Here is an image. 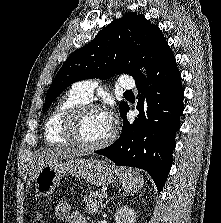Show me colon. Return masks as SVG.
Wrapping results in <instances>:
<instances>
[{"instance_id":"1","label":"colon","mask_w":221,"mask_h":223,"mask_svg":"<svg viewBox=\"0 0 221 223\" xmlns=\"http://www.w3.org/2000/svg\"><path fill=\"white\" fill-rule=\"evenodd\" d=\"M33 223H48V219L43 214H37Z\"/></svg>"}]
</instances>
